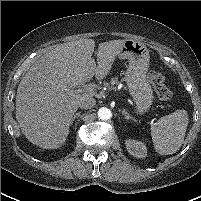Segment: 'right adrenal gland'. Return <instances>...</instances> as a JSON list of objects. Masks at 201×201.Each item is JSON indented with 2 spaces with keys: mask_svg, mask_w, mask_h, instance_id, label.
<instances>
[{
  "mask_svg": "<svg viewBox=\"0 0 201 201\" xmlns=\"http://www.w3.org/2000/svg\"><path fill=\"white\" fill-rule=\"evenodd\" d=\"M80 114H81V111L75 113V115L72 117L71 125L73 124V122H74L75 119H78V118H79Z\"/></svg>",
  "mask_w": 201,
  "mask_h": 201,
  "instance_id": "1",
  "label": "right adrenal gland"
}]
</instances>
